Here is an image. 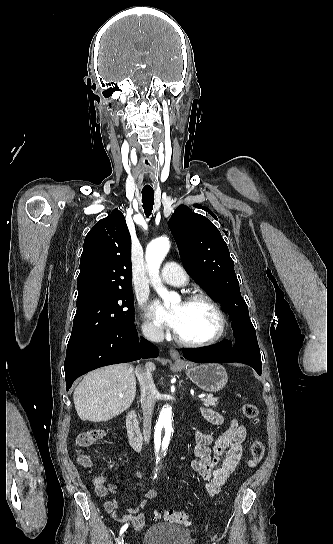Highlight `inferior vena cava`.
Here are the masks:
<instances>
[{
  "label": "inferior vena cava",
  "instance_id": "inferior-vena-cava-1",
  "mask_svg": "<svg viewBox=\"0 0 333 544\" xmlns=\"http://www.w3.org/2000/svg\"><path fill=\"white\" fill-rule=\"evenodd\" d=\"M143 335L150 341H160L163 339V333L154 327H145ZM135 374L141 386V407L143 411V437L146 444L150 441L151 420L155 405V385L152 379L151 370L148 365L145 369L137 367Z\"/></svg>",
  "mask_w": 333,
  "mask_h": 544
}]
</instances>
